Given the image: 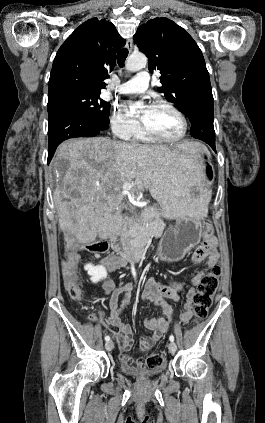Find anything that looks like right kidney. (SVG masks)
I'll return each instance as SVG.
<instances>
[{
  "label": "right kidney",
  "mask_w": 265,
  "mask_h": 423,
  "mask_svg": "<svg viewBox=\"0 0 265 423\" xmlns=\"http://www.w3.org/2000/svg\"><path fill=\"white\" fill-rule=\"evenodd\" d=\"M84 269L88 272V275L91 276L90 280L92 283H98L99 281L107 277V271L104 266H94L92 264H86L84 266Z\"/></svg>",
  "instance_id": "obj_1"
}]
</instances>
